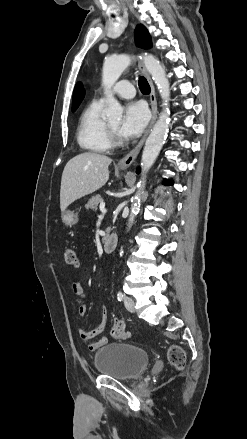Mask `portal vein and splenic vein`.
Wrapping results in <instances>:
<instances>
[{"label": "portal vein and splenic vein", "mask_w": 247, "mask_h": 439, "mask_svg": "<svg viewBox=\"0 0 247 439\" xmlns=\"http://www.w3.org/2000/svg\"><path fill=\"white\" fill-rule=\"evenodd\" d=\"M100 211L102 212V214H105L107 212V210L105 209V203H100Z\"/></svg>", "instance_id": "18ae733b"}]
</instances>
